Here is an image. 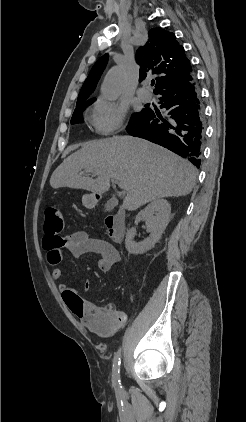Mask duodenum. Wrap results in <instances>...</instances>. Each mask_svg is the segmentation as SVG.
Returning <instances> with one entry per match:
<instances>
[{
  "mask_svg": "<svg viewBox=\"0 0 246 422\" xmlns=\"http://www.w3.org/2000/svg\"><path fill=\"white\" fill-rule=\"evenodd\" d=\"M106 226L110 236L115 241H120L125 233L126 215L123 210H118L116 213L107 216Z\"/></svg>",
  "mask_w": 246,
  "mask_h": 422,
  "instance_id": "duodenum-1",
  "label": "duodenum"
}]
</instances>
